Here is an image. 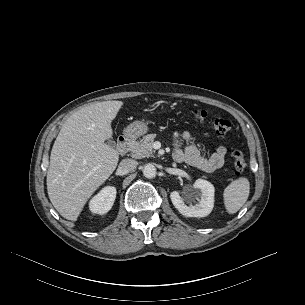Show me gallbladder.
Segmentation results:
<instances>
[{"label": "gallbladder", "mask_w": 305, "mask_h": 305, "mask_svg": "<svg viewBox=\"0 0 305 305\" xmlns=\"http://www.w3.org/2000/svg\"><path fill=\"white\" fill-rule=\"evenodd\" d=\"M107 144L111 147H115V145H116L115 141H113L111 139L107 140Z\"/></svg>", "instance_id": "1"}]
</instances>
